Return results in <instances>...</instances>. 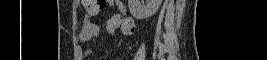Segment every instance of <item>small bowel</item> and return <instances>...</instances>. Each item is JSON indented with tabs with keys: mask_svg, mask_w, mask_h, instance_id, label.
Wrapping results in <instances>:
<instances>
[{
	"mask_svg": "<svg viewBox=\"0 0 267 60\" xmlns=\"http://www.w3.org/2000/svg\"><path fill=\"white\" fill-rule=\"evenodd\" d=\"M117 6L119 13L113 15L107 21L106 29L109 34L115 35L118 28H120L121 33L125 36H130L133 34L134 29L131 28L132 25L135 27V21L131 16L127 15V7L122 1L106 0L105 6L113 7ZM100 27L95 24L90 18H85L82 22L78 38L80 42H87L92 39L97 38L100 35ZM86 54L90 53V49L84 51Z\"/></svg>",
	"mask_w": 267,
	"mask_h": 60,
	"instance_id": "1",
	"label": "small bowel"
}]
</instances>
